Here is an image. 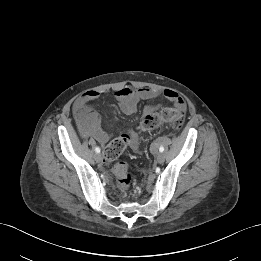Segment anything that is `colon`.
I'll use <instances>...</instances> for the list:
<instances>
[{"mask_svg":"<svg viewBox=\"0 0 261 261\" xmlns=\"http://www.w3.org/2000/svg\"><path fill=\"white\" fill-rule=\"evenodd\" d=\"M185 121L184 110L163 109L161 111H152L146 113L141 121V129L149 131L160 127L163 124H169L174 130L182 129ZM132 138L123 134L112 140L104 149L103 163L109 166L115 161L131 144ZM116 184L120 190H127L132 183V176L125 163H118L114 167Z\"/></svg>","mask_w":261,"mask_h":261,"instance_id":"obj_1","label":"colon"}]
</instances>
